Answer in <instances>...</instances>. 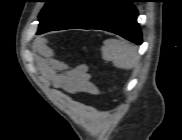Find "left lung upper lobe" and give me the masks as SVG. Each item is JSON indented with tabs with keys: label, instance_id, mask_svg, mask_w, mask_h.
I'll list each match as a JSON object with an SVG mask.
<instances>
[{
	"label": "left lung upper lobe",
	"instance_id": "5c2ea615",
	"mask_svg": "<svg viewBox=\"0 0 182 140\" xmlns=\"http://www.w3.org/2000/svg\"><path fill=\"white\" fill-rule=\"evenodd\" d=\"M104 2L105 0H46L39 14L37 34L68 29Z\"/></svg>",
	"mask_w": 182,
	"mask_h": 140
}]
</instances>
